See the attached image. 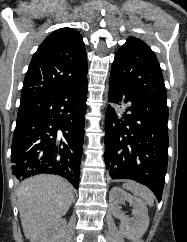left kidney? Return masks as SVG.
Returning <instances> with one entry per match:
<instances>
[{"label":"left kidney","mask_w":187,"mask_h":242,"mask_svg":"<svg viewBox=\"0 0 187 242\" xmlns=\"http://www.w3.org/2000/svg\"><path fill=\"white\" fill-rule=\"evenodd\" d=\"M125 201L133 207V217H127L120 209L119 205ZM110 209L112 214L121 220L120 232L127 239H139L146 232L149 225L148 209L146 204L119 187H114L109 193Z\"/></svg>","instance_id":"1"}]
</instances>
